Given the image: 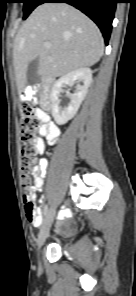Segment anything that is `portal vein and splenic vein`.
<instances>
[{
	"instance_id": "18ae733b",
	"label": "portal vein and splenic vein",
	"mask_w": 136,
	"mask_h": 296,
	"mask_svg": "<svg viewBox=\"0 0 136 296\" xmlns=\"http://www.w3.org/2000/svg\"><path fill=\"white\" fill-rule=\"evenodd\" d=\"M44 47L50 48L51 47V44L49 42H46V43H44Z\"/></svg>"
}]
</instances>
